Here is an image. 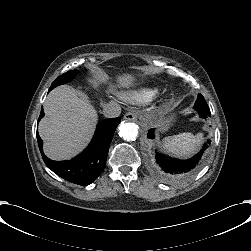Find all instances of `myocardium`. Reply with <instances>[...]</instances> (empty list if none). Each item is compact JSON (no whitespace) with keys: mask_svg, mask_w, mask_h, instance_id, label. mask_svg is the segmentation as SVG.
<instances>
[{"mask_svg":"<svg viewBox=\"0 0 251 251\" xmlns=\"http://www.w3.org/2000/svg\"><path fill=\"white\" fill-rule=\"evenodd\" d=\"M156 98L162 104H170L174 101L173 95L164 89H159L157 91Z\"/></svg>","mask_w":251,"mask_h":251,"instance_id":"obj_1","label":"myocardium"}]
</instances>
